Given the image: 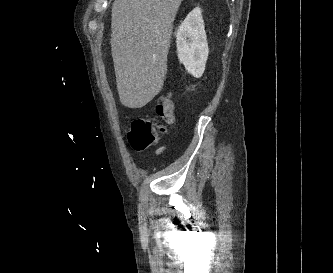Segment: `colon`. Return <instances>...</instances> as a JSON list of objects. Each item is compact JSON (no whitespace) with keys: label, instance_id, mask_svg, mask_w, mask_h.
<instances>
[{"label":"colon","instance_id":"1","mask_svg":"<svg viewBox=\"0 0 333 273\" xmlns=\"http://www.w3.org/2000/svg\"><path fill=\"white\" fill-rule=\"evenodd\" d=\"M156 116L152 119L139 118L131 122L127 137L134 150L141 151L152 146L166 126L174 120V104L170 95L160 97L155 106Z\"/></svg>","mask_w":333,"mask_h":273}]
</instances>
